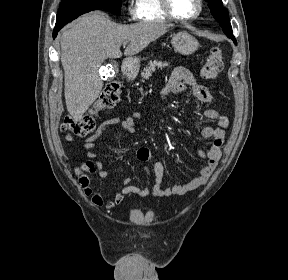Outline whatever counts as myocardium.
<instances>
[{"instance_id":"1","label":"myocardium","mask_w":288,"mask_h":280,"mask_svg":"<svg viewBox=\"0 0 288 280\" xmlns=\"http://www.w3.org/2000/svg\"><path fill=\"white\" fill-rule=\"evenodd\" d=\"M161 8L164 12V14L172 21L175 22H181V23H186V22H191L196 20L202 13L203 10V0H197V11L190 17L187 18H181L175 15V13L172 10L171 7V2L170 0H160Z\"/></svg>"}]
</instances>
